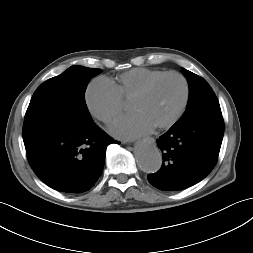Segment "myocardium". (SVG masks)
Wrapping results in <instances>:
<instances>
[{
	"mask_svg": "<svg viewBox=\"0 0 253 253\" xmlns=\"http://www.w3.org/2000/svg\"><path fill=\"white\" fill-rule=\"evenodd\" d=\"M167 77H177L183 84V88H184V93H183V99L181 102V105L178 109V111L175 113V115L169 119L167 122L159 124L157 126H155L157 129L160 130H164V129H168L170 127H172L174 124H176L180 118L183 116L188 102H189V98H190V85L189 82L187 80V78L177 72V71H168V72H164L161 75L151 79L149 82H147L133 97H132V101L143 98L144 96H146L151 90L152 88L161 80L167 78Z\"/></svg>",
	"mask_w": 253,
	"mask_h": 253,
	"instance_id": "1",
	"label": "myocardium"
}]
</instances>
